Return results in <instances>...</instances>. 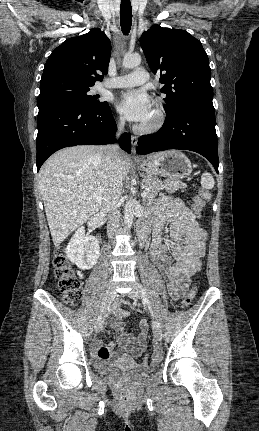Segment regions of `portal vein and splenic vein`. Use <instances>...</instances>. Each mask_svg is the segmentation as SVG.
<instances>
[{
  "mask_svg": "<svg viewBox=\"0 0 259 431\" xmlns=\"http://www.w3.org/2000/svg\"><path fill=\"white\" fill-rule=\"evenodd\" d=\"M147 195H148V193H147V191H146V190H145V191H143V192L141 193L142 198L147 197Z\"/></svg>",
  "mask_w": 259,
  "mask_h": 431,
  "instance_id": "1",
  "label": "portal vein and splenic vein"
}]
</instances>
